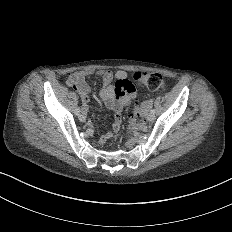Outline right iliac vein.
Wrapping results in <instances>:
<instances>
[{
  "mask_svg": "<svg viewBox=\"0 0 232 232\" xmlns=\"http://www.w3.org/2000/svg\"><path fill=\"white\" fill-rule=\"evenodd\" d=\"M78 121L79 122H84L85 121V116L84 115H79L78 116Z\"/></svg>",
  "mask_w": 232,
  "mask_h": 232,
  "instance_id": "1",
  "label": "right iliac vein"
}]
</instances>
